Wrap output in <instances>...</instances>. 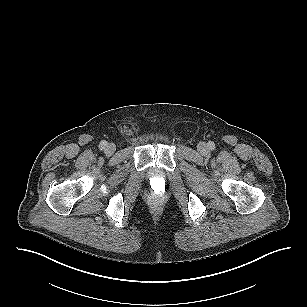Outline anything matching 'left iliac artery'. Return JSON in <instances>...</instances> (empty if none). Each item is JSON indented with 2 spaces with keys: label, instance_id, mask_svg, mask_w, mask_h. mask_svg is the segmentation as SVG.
I'll list each match as a JSON object with an SVG mask.
<instances>
[{
  "label": "left iliac artery",
  "instance_id": "left-iliac-artery-1",
  "mask_svg": "<svg viewBox=\"0 0 307 307\" xmlns=\"http://www.w3.org/2000/svg\"><path fill=\"white\" fill-rule=\"evenodd\" d=\"M208 146H209V148H210L211 150H214V149H215V144H214V142H212V141L208 142Z\"/></svg>",
  "mask_w": 307,
  "mask_h": 307
}]
</instances>
